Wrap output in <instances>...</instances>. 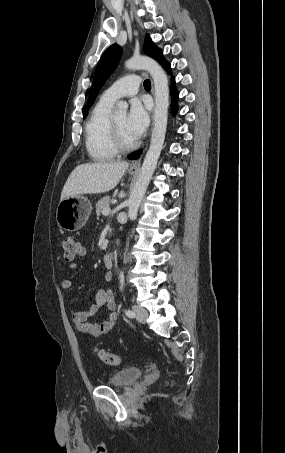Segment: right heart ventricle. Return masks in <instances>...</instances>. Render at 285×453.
<instances>
[{"mask_svg": "<svg viewBox=\"0 0 285 453\" xmlns=\"http://www.w3.org/2000/svg\"><path fill=\"white\" fill-rule=\"evenodd\" d=\"M112 106L113 103L100 99L91 111L85 126L86 149L95 161L111 160L118 154L110 132Z\"/></svg>", "mask_w": 285, "mask_h": 453, "instance_id": "e07e8e85", "label": "right heart ventricle"}]
</instances>
